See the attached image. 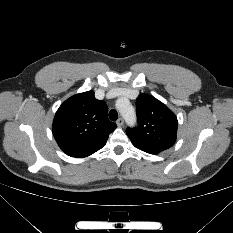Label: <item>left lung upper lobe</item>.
Instances as JSON below:
<instances>
[{
	"label": "left lung upper lobe",
	"mask_w": 233,
	"mask_h": 233,
	"mask_svg": "<svg viewBox=\"0 0 233 233\" xmlns=\"http://www.w3.org/2000/svg\"><path fill=\"white\" fill-rule=\"evenodd\" d=\"M138 126L126 133L138 149L158 154L170 148L176 140L178 121L162 102L147 94L136 99Z\"/></svg>",
	"instance_id": "obj_1"
}]
</instances>
